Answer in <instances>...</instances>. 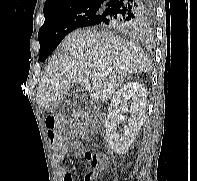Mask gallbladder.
<instances>
[{
  "instance_id": "gallbladder-1",
  "label": "gallbladder",
  "mask_w": 197,
  "mask_h": 181,
  "mask_svg": "<svg viewBox=\"0 0 197 181\" xmlns=\"http://www.w3.org/2000/svg\"><path fill=\"white\" fill-rule=\"evenodd\" d=\"M71 95L69 93H66L64 96L61 97V99H65L66 97H70Z\"/></svg>"
}]
</instances>
